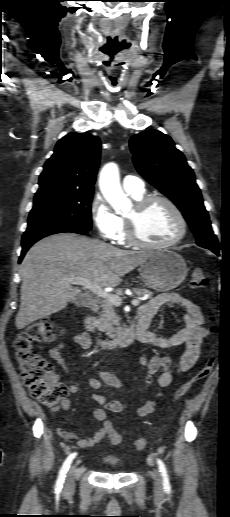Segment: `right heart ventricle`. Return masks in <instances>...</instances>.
I'll return each mask as SVG.
<instances>
[{"instance_id":"e07e8e85","label":"right heart ventricle","mask_w":230,"mask_h":517,"mask_svg":"<svg viewBox=\"0 0 230 517\" xmlns=\"http://www.w3.org/2000/svg\"><path fill=\"white\" fill-rule=\"evenodd\" d=\"M130 196L134 199V200H139L141 198L144 197V192L141 193V194H138V195H134V194H130ZM121 221H122V229H121V232L120 234L118 235L117 237V241L119 243H126L127 242V236H126V223L124 221V219L121 218Z\"/></svg>"}]
</instances>
